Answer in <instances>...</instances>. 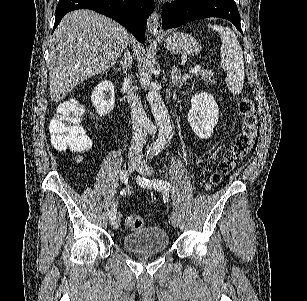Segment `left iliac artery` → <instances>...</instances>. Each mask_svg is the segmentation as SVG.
<instances>
[{
  "instance_id": "left-iliac-artery-1",
  "label": "left iliac artery",
  "mask_w": 307,
  "mask_h": 301,
  "mask_svg": "<svg viewBox=\"0 0 307 301\" xmlns=\"http://www.w3.org/2000/svg\"><path fill=\"white\" fill-rule=\"evenodd\" d=\"M138 180L140 184L146 186L147 188L153 187L162 192L168 191L172 187L169 182L158 178L150 181L149 179L139 177Z\"/></svg>"
}]
</instances>
